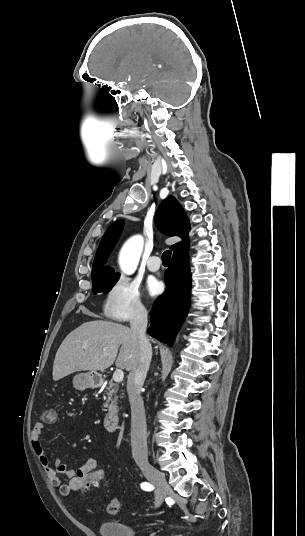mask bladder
I'll use <instances>...</instances> for the list:
<instances>
[{
    "mask_svg": "<svg viewBox=\"0 0 305 536\" xmlns=\"http://www.w3.org/2000/svg\"><path fill=\"white\" fill-rule=\"evenodd\" d=\"M97 527L100 536H148L137 533L136 526L125 522L101 520Z\"/></svg>",
    "mask_w": 305,
    "mask_h": 536,
    "instance_id": "bladder-1",
    "label": "bladder"
}]
</instances>
